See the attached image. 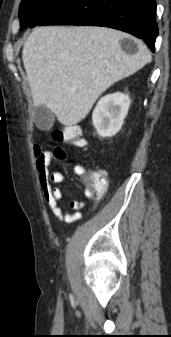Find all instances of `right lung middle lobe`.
Here are the masks:
<instances>
[{
    "label": "right lung middle lobe",
    "mask_w": 171,
    "mask_h": 337,
    "mask_svg": "<svg viewBox=\"0 0 171 337\" xmlns=\"http://www.w3.org/2000/svg\"><path fill=\"white\" fill-rule=\"evenodd\" d=\"M67 0H23L19 8L21 29L32 28L56 12Z\"/></svg>",
    "instance_id": "right-lung-middle-lobe-1"
}]
</instances>
